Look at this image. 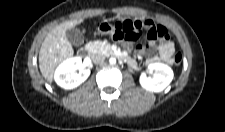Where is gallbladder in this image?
<instances>
[{"mask_svg":"<svg viewBox=\"0 0 225 132\" xmlns=\"http://www.w3.org/2000/svg\"><path fill=\"white\" fill-rule=\"evenodd\" d=\"M66 36L69 42L74 46H80L84 43V37L81 31L77 29H68L66 32Z\"/></svg>","mask_w":225,"mask_h":132,"instance_id":"1","label":"gallbladder"}]
</instances>
